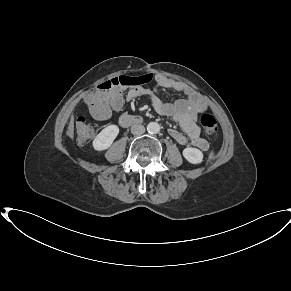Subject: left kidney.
Masks as SVG:
<instances>
[{
    "mask_svg": "<svg viewBox=\"0 0 291 291\" xmlns=\"http://www.w3.org/2000/svg\"><path fill=\"white\" fill-rule=\"evenodd\" d=\"M183 156L189 163L192 164H199L203 161V153L197 148H185L183 150Z\"/></svg>",
    "mask_w": 291,
    "mask_h": 291,
    "instance_id": "obj_1",
    "label": "left kidney"
}]
</instances>
